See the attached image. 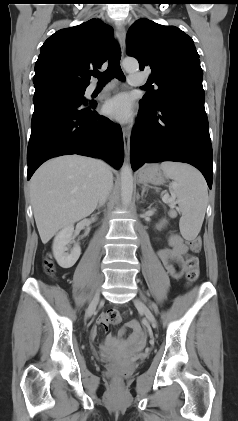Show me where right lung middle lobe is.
<instances>
[{
  "instance_id": "right-lung-middle-lobe-1",
  "label": "right lung middle lobe",
  "mask_w": 238,
  "mask_h": 421,
  "mask_svg": "<svg viewBox=\"0 0 238 421\" xmlns=\"http://www.w3.org/2000/svg\"><path fill=\"white\" fill-rule=\"evenodd\" d=\"M52 85L57 86V87H59L61 89H65V90H69V91L78 93L82 97L84 96L85 89H86V87L74 86V85H66V84H52Z\"/></svg>"
}]
</instances>
